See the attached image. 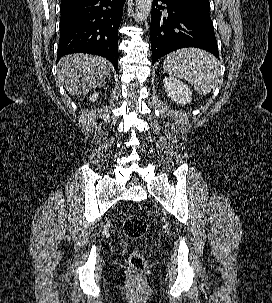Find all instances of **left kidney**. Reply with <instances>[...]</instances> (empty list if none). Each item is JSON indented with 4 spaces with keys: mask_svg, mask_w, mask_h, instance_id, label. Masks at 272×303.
I'll return each mask as SVG.
<instances>
[{
    "mask_svg": "<svg viewBox=\"0 0 272 303\" xmlns=\"http://www.w3.org/2000/svg\"><path fill=\"white\" fill-rule=\"evenodd\" d=\"M163 83L167 96L171 98L173 102L182 105L191 103L192 93L185 83L173 77H165Z\"/></svg>",
    "mask_w": 272,
    "mask_h": 303,
    "instance_id": "left-kidney-1",
    "label": "left kidney"
}]
</instances>
